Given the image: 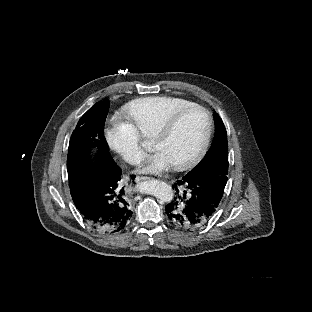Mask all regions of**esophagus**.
Returning a JSON list of instances; mask_svg holds the SVG:
<instances>
[{"label":"esophagus","mask_w":312,"mask_h":312,"mask_svg":"<svg viewBox=\"0 0 312 312\" xmlns=\"http://www.w3.org/2000/svg\"><path fill=\"white\" fill-rule=\"evenodd\" d=\"M145 180H151V177L148 176H137L135 181L140 182V181H145Z\"/></svg>","instance_id":"obj_1"}]
</instances>
